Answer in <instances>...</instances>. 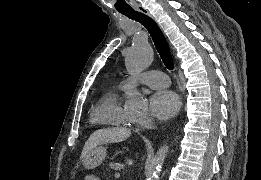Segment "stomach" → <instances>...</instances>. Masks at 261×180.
Instances as JSON below:
<instances>
[{
	"mask_svg": "<svg viewBox=\"0 0 261 180\" xmlns=\"http://www.w3.org/2000/svg\"><path fill=\"white\" fill-rule=\"evenodd\" d=\"M106 155L107 153L105 147L96 146L83 158V165L86 169H94L105 160Z\"/></svg>",
	"mask_w": 261,
	"mask_h": 180,
	"instance_id": "1",
	"label": "stomach"
}]
</instances>
